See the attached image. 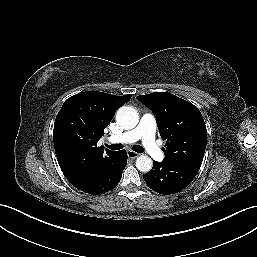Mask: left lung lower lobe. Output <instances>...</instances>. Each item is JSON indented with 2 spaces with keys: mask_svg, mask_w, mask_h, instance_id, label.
<instances>
[{
  "mask_svg": "<svg viewBox=\"0 0 257 257\" xmlns=\"http://www.w3.org/2000/svg\"><path fill=\"white\" fill-rule=\"evenodd\" d=\"M198 171L183 164L154 161L150 172L143 175L146 184L160 194H173L186 188Z\"/></svg>",
  "mask_w": 257,
  "mask_h": 257,
  "instance_id": "0a47b994",
  "label": "left lung lower lobe"
}]
</instances>
